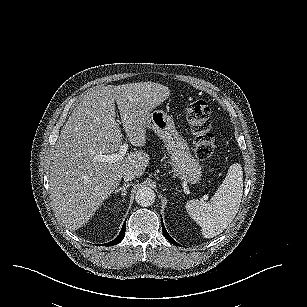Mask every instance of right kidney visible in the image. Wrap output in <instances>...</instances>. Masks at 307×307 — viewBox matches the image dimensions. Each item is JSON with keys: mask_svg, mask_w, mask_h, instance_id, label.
<instances>
[{"mask_svg": "<svg viewBox=\"0 0 307 307\" xmlns=\"http://www.w3.org/2000/svg\"><path fill=\"white\" fill-rule=\"evenodd\" d=\"M120 209V204L115 203L112 207H111V211L112 212H117Z\"/></svg>", "mask_w": 307, "mask_h": 307, "instance_id": "1", "label": "right kidney"}]
</instances>
